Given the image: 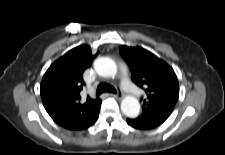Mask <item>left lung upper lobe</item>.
I'll use <instances>...</instances> for the list:
<instances>
[{"label":"left lung upper lobe","mask_w":225,"mask_h":155,"mask_svg":"<svg viewBox=\"0 0 225 155\" xmlns=\"http://www.w3.org/2000/svg\"><path fill=\"white\" fill-rule=\"evenodd\" d=\"M120 53L129 65L131 78L145 89L139 123L162 124L172 113L179 96L178 80L163 60L141 47L121 46Z\"/></svg>","instance_id":"1"}]
</instances>
